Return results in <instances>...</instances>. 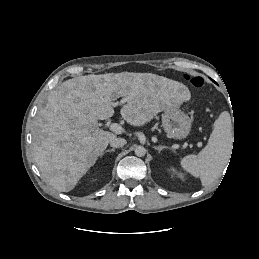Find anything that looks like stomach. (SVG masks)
<instances>
[{
	"instance_id": "obj_1",
	"label": "stomach",
	"mask_w": 259,
	"mask_h": 259,
	"mask_svg": "<svg viewBox=\"0 0 259 259\" xmlns=\"http://www.w3.org/2000/svg\"><path fill=\"white\" fill-rule=\"evenodd\" d=\"M183 93H188L184 86ZM191 119L178 106L167 108L162 115V126L167 136L174 139H184L191 131Z\"/></svg>"
}]
</instances>
